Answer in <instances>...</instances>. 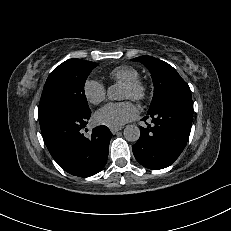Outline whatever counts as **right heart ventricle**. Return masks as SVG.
<instances>
[{"label": "right heart ventricle", "instance_id": "e07e8e85", "mask_svg": "<svg viewBox=\"0 0 231 231\" xmlns=\"http://www.w3.org/2000/svg\"><path fill=\"white\" fill-rule=\"evenodd\" d=\"M109 77L113 81L125 84L138 80L139 73L135 68L131 66L123 65V66H118L113 70H111L109 73Z\"/></svg>", "mask_w": 231, "mask_h": 231}]
</instances>
